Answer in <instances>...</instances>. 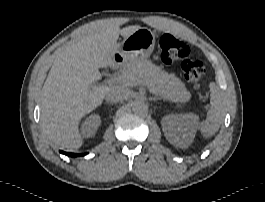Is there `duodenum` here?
I'll return each mask as SVG.
<instances>
[{
	"label": "duodenum",
	"mask_w": 265,
	"mask_h": 202,
	"mask_svg": "<svg viewBox=\"0 0 265 202\" xmlns=\"http://www.w3.org/2000/svg\"><path fill=\"white\" fill-rule=\"evenodd\" d=\"M123 61H124L123 56L120 54H116L113 58V62L111 64V69L113 71H117L120 68V66L122 65Z\"/></svg>",
	"instance_id": "duodenum-1"
}]
</instances>
